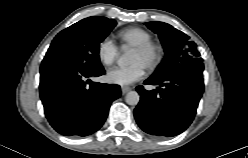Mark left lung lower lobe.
Listing matches in <instances>:
<instances>
[{"mask_svg": "<svg viewBox=\"0 0 248 158\" xmlns=\"http://www.w3.org/2000/svg\"><path fill=\"white\" fill-rule=\"evenodd\" d=\"M202 72L201 60L189 61L162 78L149 77L144 83L158 85L155 90L138 86L141 97L134 116L139 127L157 136L182 133L194 119L204 90Z\"/></svg>", "mask_w": 248, "mask_h": 158, "instance_id": "1", "label": "left lung lower lobe"}]
</instances>
